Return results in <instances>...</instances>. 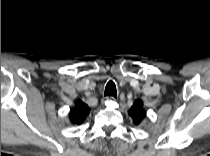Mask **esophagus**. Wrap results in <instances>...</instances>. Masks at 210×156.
Instances as JSON below:
<instances>
[{"instance_id":"esophagus-1","label":"esophagus","mask_w":210,"mask_h":156,"mask_svg":"<svg viewBox=\"0 0 210 156\" xmlns=\"http://www.w3.org/2000/svg\"><path fill=\"white\" fill-rule=\"evenodd\" d=\"M115 101V98L113 96H106L102 99V104L107 105L109 102Z\"/></svg>"}]
</instances>
